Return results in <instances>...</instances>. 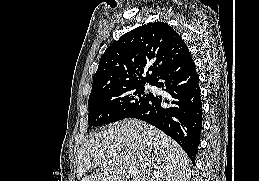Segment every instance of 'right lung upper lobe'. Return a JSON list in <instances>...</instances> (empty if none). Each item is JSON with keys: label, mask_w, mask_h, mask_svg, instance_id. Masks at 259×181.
Segmentation results:
<instances>
[{"label": "right lung upper lobe", "mask_w": 259, "mask_h": 181, "mask_svg": "<svg viewBox=\"0 0 259 181\" xmlns=\"http://www.w3.org/2000/svg\"><path fill=\"white\" fill-rule=\"evenodd\" d=\"M188 53L180 35L168 24L154 22L139 26L106 49L89 97L111 89L152 83ZM145 69L146 77H143Z\"/></svg>", "instance_id": "cb5924a9"}]
</instances>
